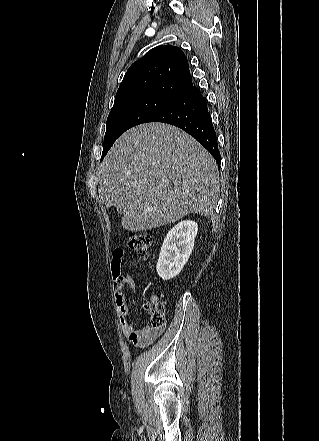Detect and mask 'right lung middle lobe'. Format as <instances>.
I'll return each mask as SVG.
<instances>
[{"label": "right lung middle lobe", "mask_w": 319, "mask_h": 441, "mask_svg": "<svg viewBox=\"0 0 319 441\" xmlns=\"http://www.w3.org/2000/svg\"><path fill=\"white\" fill-rule=\"evenodd\" d=\"M171 103L161 98L140 97L113 106L107 118L101 161L121 134L133 126L148 122Z\"/></svg>", "instance_id": "dd1d6c3e"}]
</instances>
